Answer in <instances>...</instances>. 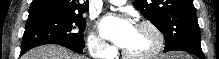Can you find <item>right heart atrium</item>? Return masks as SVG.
<instances>
[{
  "mask_svg": "<svg viewBox=\"0 0 219 59\" xmlns=\"http://www.w3.org/2000/svg\"><path fill=\"white\" fill-rule=\"evenodd\" d=\"M87 47L91 56L99 59L108 58L112 49L110 45L96 33H90L87 39Z\"/></svg>",
  "mask_w": 219,
  "mask_h": 59,
  "instance_id": "right-heart-atrium-1",
  "label": "right heart atrium"
}]
</instances>
